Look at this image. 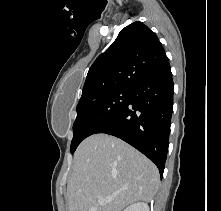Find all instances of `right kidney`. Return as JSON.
Returning <instances> with one entry per match:
<instances>
[{
    "mask_svg": "<svg viewBox=\"0 0 221 211\" xmlns=\"http://www.w3.org/2000/svg\"><path fill=\"white\" fill-rule=\"evenodd\" d=\"M123 211H149V206L144 202H138L128 206Z\"/></svg>",
    "mask_w": 221,
    "mask_h": 211,
    "instance_id": "1",
    "label": "right kidney"
}]
</instances>
